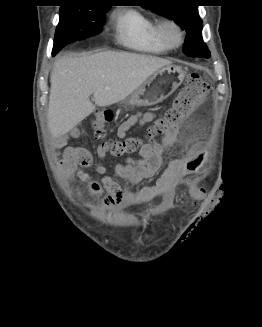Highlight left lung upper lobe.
I'll use <instances>...</instances> for the list:
<instances>
[{
    "label": "left lung upper lobe",
    "instance_id": "left-lung-upper-lobe-1",
    "mask_svg": "<svg viewBox=\"0 0 262 327\" xmlns=\"http://www.w3.org/2000/svg\"><path fill=\"white\" fill-rule=\"evenodd\" d=\"M144 8L174 20L186 31L183 51L191 57H210V51L202 39V20L198 6L191 0H146Z\"/></svg>",
    "mask_w": 262,
    "mask_h": 327
}]
</instances>
